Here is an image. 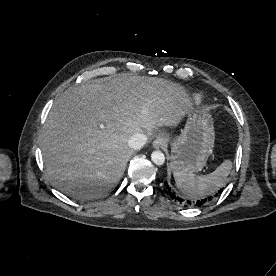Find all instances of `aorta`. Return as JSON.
Listing matches in <instances>:
<instances>
[{
	"mask_svg": "<svg viewBox=\"0 0 276 276\" xmlns=\"http://www.w3.org/2000/svg\"><path fill=\"white\" fill-rule=\"evenodd\" d=\"M151 160L156 165H163L165 163V155L159 150L154 151L151 154Z\"/></svg>",
	"mask_w": 276,
	"mask_h": 276,
	"instance_id": "1",
	"label": "aorta"
}]
</instances>
